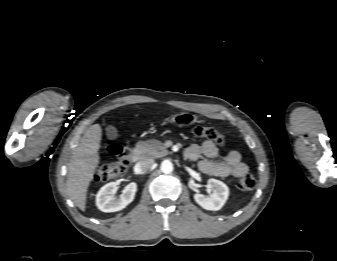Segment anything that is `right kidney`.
I'll return each mask as SVG.
<instances>
[{"mask_svg": "<svg viewBox=\"0 0 337 261\" xmlns=\"http://www.w3.org/2000/svg\"><path fill=\"white\" fill-rule=\"evenodd\" d=\"M118 189L117 182H110L104 185L96 195V206L103 212H116L124 209L131 203L137 191V184L132 182L128 184L122 195L116 199L114 194Z\"/></svg>", "mask_w": 337, "mask_h": 261, "instance_id": "1", "label": "right kidney"}]
</instances>
